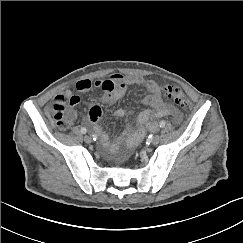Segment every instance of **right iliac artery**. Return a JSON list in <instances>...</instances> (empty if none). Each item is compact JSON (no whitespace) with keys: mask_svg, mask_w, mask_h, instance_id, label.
Wrapping results in <instances>:
<instances>
[{"mask_svg":"<svg viewBox=\"0 0 243 243\" xmlns=\"http://www.w3.org/2000/svg\"><path fill=\"white\" fill-rule=\"evenodd\" d=\"M80 131H81V133H83V134H85V133L87 132L86 128H84V127H83V128H81V130H80Z\"/></svg>","mask_w":243,"mask_h":243,"instance_id":"1","label":"right iliac artery"}]
</instances>
